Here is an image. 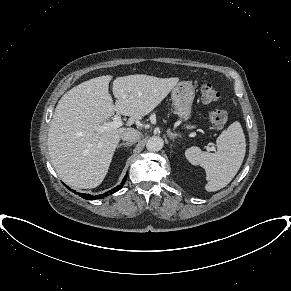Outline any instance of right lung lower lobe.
<instances>
[{"label":"right lung lower lobe","mask_w":291,"mask_h":291,"mask_svg":"<svg viewBox=\"0 0 291 291\" xmlns=\"http://www.w3.org/2000/svg\"><path fill=\"white\" fill-rule=\"evenodd\" d=\"M126 178H127V176H125V178L122 180V183H121L119 186H117V187L111 189L110 191L104 193L103 195H96V196H93V195H90V194H80V196H81L82 198H84V199H87V200H88V199H89V200H95V199L103 198V197H105V196H108L109 194H112V193L117 192L118 190H120V189L123 187L124 183L126 182ZM66 187H67V186H66ZM67 188L70 189L69 187H67Z\"/></svg>","instance_id":"right-lung-lower-lobe-1"}]
</instances>
